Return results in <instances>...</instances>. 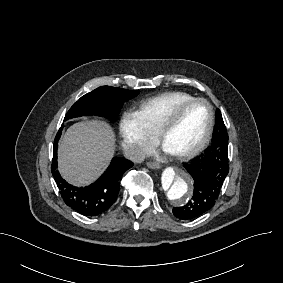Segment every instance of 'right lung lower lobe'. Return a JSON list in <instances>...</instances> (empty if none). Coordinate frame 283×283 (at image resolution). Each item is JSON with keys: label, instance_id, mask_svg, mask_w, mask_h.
I'll use <instances>...</instances> for the list:
<instances>
[{"label": "right lung lower lobe", "instance_id": "1", "mask_svg": "<svg viewBox=\"0 0 283 283\" xmlns=\"http://www.w3.org/2000/svg\"><path fill=\"white\" fill-rule=\"evenodd\" d=\"M63 124L54 140L52 175L64 202L73 210L85 215L96 216L105 212L117 199L123 173L133 166L124 158H113L104 174L87 187H74L68 184L57 170V147Z\"/></svg>", "mask_w": 283, "mask_h": 283}]
</instances>
